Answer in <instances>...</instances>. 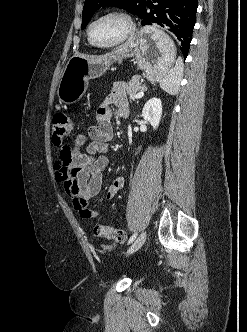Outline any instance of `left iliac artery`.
Instances as JSON below:
<instances>
[{"instance_id": "44dca946", "label": "left iliac artery", "mask_w": 247, "mask_h": 332, "mask_svg": "<svg viewBox=\"0 0 247 332\" xmlns=\"http://www.w3.org/2000/svg\"><path fill=\"white\" fill-rule=\"evenodd\" d=\"M137 237V232H135L128 240V243L127 244H130L132 243Z\"/></svg>"}]
</instances>
